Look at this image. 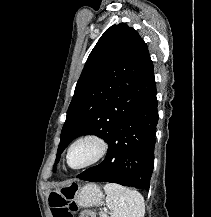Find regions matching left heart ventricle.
Returning a JSON list of instances; mask_svg holds the SVG:
<instances>
[{"label":"left heart ventricle","mask_w":211,"mask_h":217,"mask_svg":"<svg viewBox=\"0 0 211 217\" xmlns=\"http://www.w3.org/2000/svg\"><path fill=\"white\" fill-rule=\"evenodd\" d=\"M98 146L92 141H83L76 144L69 156L70 164L73 167L81 166L90 161L97 153Z\"/></svg>","instance_id":"1"}]
</instances>
